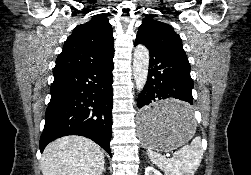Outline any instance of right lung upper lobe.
Returning <instances> with one entry per match:
<instances>
[{"mask_svg":"<svg viewBox=\"0 0 251 175\" xmlns=\"http://www.w3.org/2000/svg\"><path fill=\"white\" fill-rule=\"evenodd\" d=\"M107 15L97 14L88 22L74 28L56 60L53 75L102 66L113 59V31Z\"/></svg>","mask_w":251,"mask_h":175,"instance_id":"1","label":"right lung upper lobe"}]
</instances>
